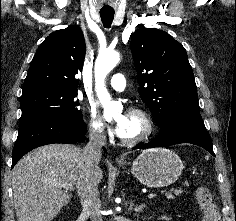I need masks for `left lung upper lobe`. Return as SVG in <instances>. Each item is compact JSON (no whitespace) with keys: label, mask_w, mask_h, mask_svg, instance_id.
Instances as JSON below:
<instances>
[{"label":"left lung upper lobe","mask_w":236,"mask_h":221,"mask_svg":"<svg viewBox=\"0 0 236 221\" xmlns=\"http://www.w3.org/2000/svg\"><path fill=\"white\" fill-rule=\"evenodd\" d=\"M131 51L139 94L159 127L175 113H199L194 74L179 42L162 30L142 28L132 35Z\"/></svg>","instance_id":"1"}]
</instances>
